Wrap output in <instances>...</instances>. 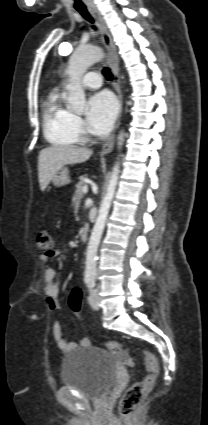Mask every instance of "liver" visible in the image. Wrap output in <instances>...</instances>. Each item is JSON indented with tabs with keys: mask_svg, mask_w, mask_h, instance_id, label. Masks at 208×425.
Masks as SVG:
<instances>
[{
	"mask_svg": "<svg viewBox=\"0 0 208 425\" xmlns=\"http://www.w3.org/2000/svg\"><path fill=\"white\" fill-rule=\"evenodd\" d=\"M92 150L73 146L54 145L42 149L38 157V178L41 191H44L55 173L64 165L87 161Z\"/></svg>",
	"mask_w": 208,
	"mask_h": 425,
	"instance_id": "1",
	"label": "liver"
}]
</instances>
